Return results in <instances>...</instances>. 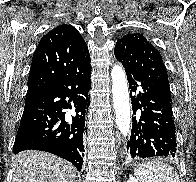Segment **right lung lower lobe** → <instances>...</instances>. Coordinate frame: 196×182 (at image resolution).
<instances>
[{
    "mask_svg": "<svg viewBox=\"0 0 196 182\" xmlns=\"http://www.w3.org/2000/svg\"><path fill=\"white\" fill-rule=\"evenodd\" d=\"M90 59L41 92L24 107L13 151L41 150L82 169L86 111L90 104ZM76 114L65 118V110Z\"/></svg>",
    "mask_w": 196,
    "mask_h": 182,
    "instance_id": "1",
    "label": "right lung lower lobe"
}]
</instances>
